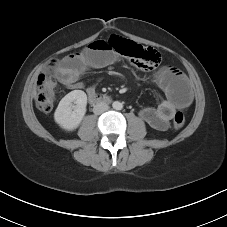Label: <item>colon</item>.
<instances>
[{
    "instance_id": "5ec220e1",
    "label": "colon",
    "mask_w": 227,
    "mask_h": 227,
    "mask_svg": "<svg viewBox=\"0 0 227 227\" xmlns=\"http://www.w3.org/2000/svg\"><path fill=\"white\" fill-rule=\"evenodd\" d=\"M107 41L111 50L116 53L129 58L137 67L143 70H152L156 68L160 61V54L150 48L143 47L133 41L112 36ZM56 66V61L53 60L50 68ZM55 87L56 83L49 73H43L39 76L37 81V106L44 112L49 113L53 109L55 102ZM185 124V115L183 112H176L173 117V128L180 129Z\"/></svg>"
}]
</instances>
